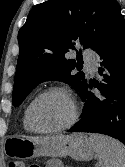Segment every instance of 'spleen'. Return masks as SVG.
Listing matches in <instances>:
<instances>
[{
	"label": "spleen",
	"mask_w": 125,
	"mask_h": 167,
	"mask_svg": "<svg viewBox=\"0 0 125 167\" xmlns=\"http://www.w3.org/2000/svg\"><path fill=\"white\" fill-rule=\"evenodd\" d=\"M90 140L100 167H125V146L122 143L101 134H92Z\"/></svg>",
	"instance_id": "3e777b00"
}]
</instances>
